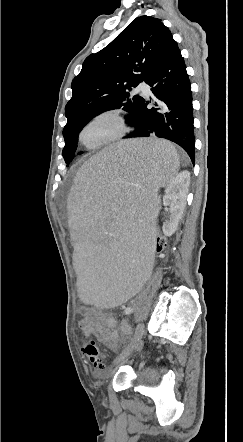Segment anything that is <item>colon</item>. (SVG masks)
Here are the masks:
<instances>
[{
	"instance_id": "1",
	"label": "colon",
	"mask_w": 243,
	"mask_h": 442,
	"mask_svg": "<svg viewBox=\"0 0 243 442\" xmlns=\"http://www.w3.org/2000/svg\"><path fill=\"white\" fill-rule=\"evenodd\" d=\"M152 223H157V218H152ZM153 235L156 236V242L154 243L155 251L159 254H163L166 251L167 238L165 237V228L162 225L157 226L153 230ZM82 352L88 357L90 362L97 368H105V353L99 348L95 340H86L82 344Z\"/></svg>"
}]
</instances>
